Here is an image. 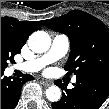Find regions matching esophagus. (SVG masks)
I'll use <instances>...</instances> for the list:
<instances>
[{"mask_svg": "<svg viewBox=\"0 0 109 109\" xmlns=\"http://www.w3.org/2000/svg\"><path fill=\"white\" fill-rule=\"evenodd\" d=\"M41 84H43L45 87H49L51 85V82L42 80Z\"/></svg>", "mask_w": 109, "mask_h": 109, "instance_id": "1", "label": "esophagus"}]
</instances>
